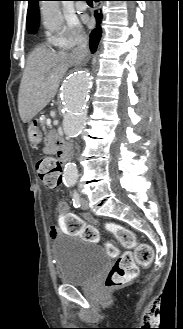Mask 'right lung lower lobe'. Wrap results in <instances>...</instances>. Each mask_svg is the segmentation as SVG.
I'll return each mask as SVG.
<instances>
[{
    "instance_id": "1",
    "label": "right lung lower lobe",
    "mask_w": 183,
    "mask_h": 329,
    "mask_svg": "<svg viewBox=\"0 0 183 329\" xmlns=\"http://www.w3.org/2000/svg\"><path fill=\"white\" fill-rule=\"evenodd\" d=\"M94 1H103V0H94ZM94 17L96 19V27L95 29L92 30L90 34V49L92 53H95L101 38V34H102L101 23L103 19V14L101 11L96 10L94 12Z\"/></svg>"
}]
</instances>
